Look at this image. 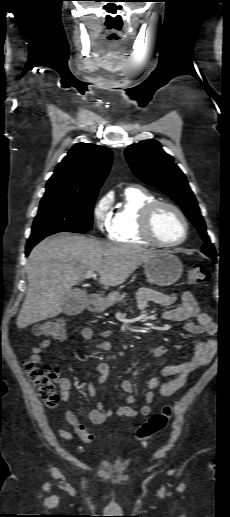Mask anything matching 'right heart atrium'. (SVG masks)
Here are the masks:
<instances>
[{
    "instance_id": "obj_1",
    "label": "right heart atrium",
    "mask_w": 230,
    "mask_h": 517,
    "mask_svg": "<svg viewBox=\"0 0 230 517\" xmlns=\"http://www.w3.org/2000/svg\"><path fill=\"white\" fill-rule=\"evenodd\" d=\"M112 197L103 195L94 204L92 209L93 219L100 233H108L113 218Z\"/></svg>"
}]
</instances>
